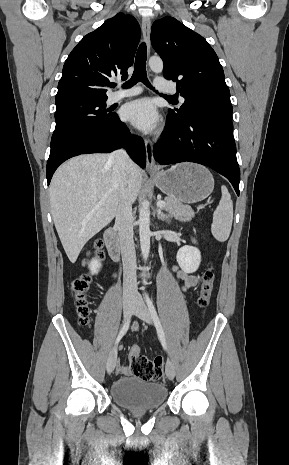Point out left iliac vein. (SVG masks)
<instances>
[{
    "mask_svg": "<svg viewBox=\"0 0 289 465\" xmlns=\"http://www.w3.org/2000/svg\"><path fill=\"white\" fill-rule=\"evenodd\" d=\"M134 314L148 324H152V316L150 310L145 305L143 299L138 296L135 301ZM165 372L167 377L172 380L175 376V366L170 359H167Z\"/></svg>",
    "mask_w": 289,
    "mask_h": 465,
    "instance_id": "obj_1",
    "label": "left iliac vein"
}]
</instances>
